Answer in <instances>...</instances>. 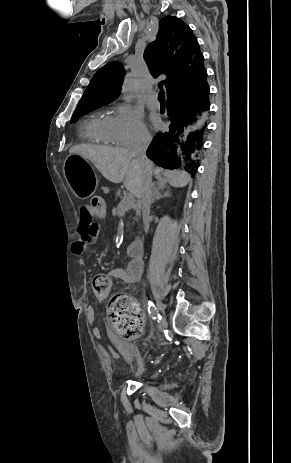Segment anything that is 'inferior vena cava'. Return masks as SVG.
Masks as SVG:
<instances>
[{
	"label": "inferior vena cava",
	"instance_id": "1",
	"mask_svg": "<svg viewBox=\"0 0 291 463\" xmlns=\"http://www.w3.org/2000/svg\"><path fill=\"white\" fill-rule=\"evenodd\" d=\"M151 141L149 133L143 132L139 135L137 141L128 149L130 154L143 166L144 178L141 192V209L144 223V230H149L150 205L152 202V172L150 162L146 157V149Z\"/></svg>",
	"mask_w": 291,
	"mask_h": 463
}]
</instances>
